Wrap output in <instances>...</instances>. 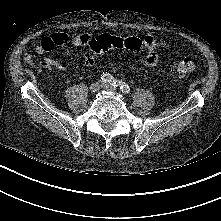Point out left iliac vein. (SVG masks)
Masks as SVG:
<instances>
[{"instance_id":"left-iliac-vein-1","label":"left iliac vein","mask_w":221,"mask_h":221,"mask_svg":"<svg viewBox=\"0 0 221 221\" xmlns=\"http://www.w3.org/2000/svg\"><path fill=\"white\" fill-rule=\"evenodd\" d=\"M103 87L108 90V91H111V92H116V88L110 84H103Z\"/></svg>"}]
</instances>
